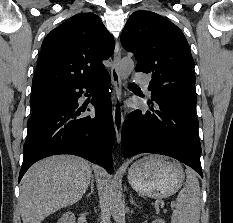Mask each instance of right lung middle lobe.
<instances>
[{
  "label": "right lung middle lobe",
  "instance_id": "obj_1",
  "mask_svg": "<svg viewBox=\"0 0 233 223\" xmlns=\"http://www.w3.org/2000/svg\"><path fill=\"white\" fill-rule=\"evenodd\" d=\"M30 104H31V108L32 110L38 105V102H36L34 99H30Z\"/></svg>",
  "mask_w": 233,
  "mask_h": 223
}]
</instances>
